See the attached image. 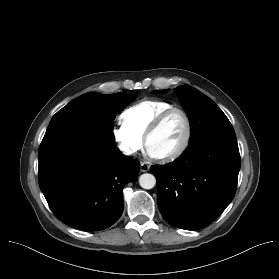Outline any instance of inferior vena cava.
I'll return each mask as SVG.
<instances>
[{
  "instance_id": "obj_1",
  "label": "inferior vena cava",
  "mask_w": 279,
  "mask_h": 279,
  "mask_svg": "<svg viewBox=\"0 0 279 279\" xmlns=\"http://www.w3.org/2000/svg\"><path fill=\"white\" fill-rule=\"evenodd\" d=\"M126 154H131L132 153V150L130 149H127V150H124Z\"/></svg>"
}]
</instances>
